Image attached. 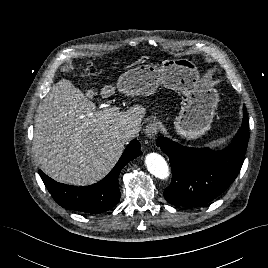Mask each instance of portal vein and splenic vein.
<instances>
[{
    "label": "portal vein and splenic vein",
    "instance_id": "obj_1",
    "mask_svg": "<svg viewBox=\"0 0 268 268\" xmlns=\"http://www.w3.org/2000/svg\"><path fill=\"white\" fill-rule=\"evenodd\" d=\"M115 111V108H104L103 110L99 111L100 113L98 115H101V117H108Z\"/></svg>",
    "mask_w": 268,
    "mask_h": 268
}]
</instances>
